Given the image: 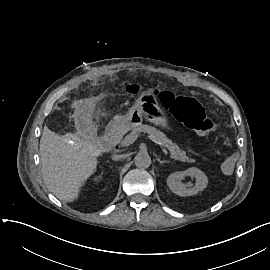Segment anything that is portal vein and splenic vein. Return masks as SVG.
Here are the masks:
<instances>
[{"label": "portal vein and splenic vein", "instance_id": "18ae733b", "mask_svg": "<svg viewBox=\"0 0 270 270\" xmlns=\"http://www.w3.org/2000/svg\"><path fill=\"white\" fill-rule=\"evenodd\" d=\"M144 139V136L142 135V134H139L138 136L137 135H134V136H132V135H129V136H127V138H126V141H127V143H129V144H132V143H135V142H137L138 140L139 141H142ZM158 144H160L161 145V143L160 142H158V141H156ZM163 153L165 154V155H168V151L164 148L163 150ZM168 157L170 158V156L168 155Z\"/></svg>", "mask_w": 270, "mask_h": 270}]
</instances>
